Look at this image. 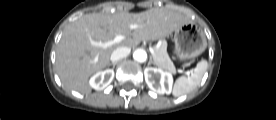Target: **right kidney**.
Listing matches in <instances>:
<instances>
[{"label": "right kidney", "mask_w": 276, "mask_h": 120, "mask_svg": "<svg viewBox=\"0 0 276 120\" xmlns=\"http://www.w3.org/2000/svg\"><path fill=\"white\" fill-rule=\"evenodd\" d=\"M113 78L114 70L106 69L94 74L91 77L89 84L95 90H103L112 82Z\"/></svg>", "instance_id": "obj_1"}]
</instances>
